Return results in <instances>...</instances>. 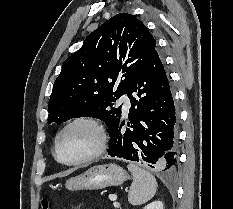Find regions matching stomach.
Segmentation results:
<instances>
[{
    "instance_id": "stomach-1",
    "label": "stomach",
    "mask_w": 233,
    "mask_h": 209,
    "mask_svg": "<svg viewBox=\"0 0 233 209\" xmlns=\"http://www.w3.org/2000/svg\"><path fill=\"white\" fill-rule=\"evenodd\" d=\"M127 178L128 174L116 164L95 165L68 179L65 186L69 190H98L108 186H119Z\"/></svg>"
}]
</instances>
